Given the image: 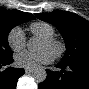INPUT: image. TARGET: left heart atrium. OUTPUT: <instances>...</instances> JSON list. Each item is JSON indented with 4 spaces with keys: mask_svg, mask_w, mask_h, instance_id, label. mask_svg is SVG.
I'll return each mask as SVG.
<instances>
[{
    "mask_svg": "<svg viewBox=\"0 0 89 89\" xmlns=\"http://www.w3.org/2000/svg\"><path fill=\"white\" fill-rule=\"evenodd\" d=\"M53 57V53L48 49L37 53L21 52L15 56V62L20 67L33 69L51 62Z\"/></svg>",
    "mask_w": 89,
    "mask_h": 89,
    "instance_id": "1",
    "label": "left heart atrium"
}]
</instances>
